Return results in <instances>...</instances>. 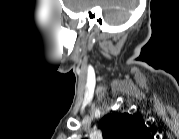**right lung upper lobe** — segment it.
Instances as JSON below:
<instances>
[{"label":"right lung upper lobe","instance_id":"cb5924a9","mask_svg":"<svg viewBox=\"0 0 179 139\" xmlns=\"http://www.w3.org/2000/svg\"><path fill=\"white\" fill-rule=\"evenodd\" d=\"M104 139H149L147 126L138 118L128 113L109 114L99 126Z\"/></svg>","mask_w":179,"mask_h":139}]
</instances>
